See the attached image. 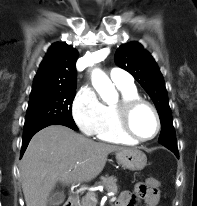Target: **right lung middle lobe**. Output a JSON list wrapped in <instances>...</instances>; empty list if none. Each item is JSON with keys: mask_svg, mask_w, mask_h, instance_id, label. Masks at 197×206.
I'll list each match as a JSON object with an SVG mask.
<instances>
[{"mask_svg": "<svg viewBox=\"0 0 197 206\" xmlns=\"http://www.w3.org/2000/svg\"><path fill=\"white\" fill-rule=\"evenodd\" d=\"M75 94L76 87L32 90L23 134L55 124L78 129L71 112Z\"/></svg>", "mask_w": 197, "mask_h": 206, "instance_id": "dd1d6c3e", "label": "right lung middle lobe"}]
</instances>
